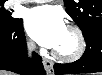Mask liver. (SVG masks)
I'll list each match as a JSON object with an SVG mask.
<instances>
[{"mask_svg": "<svg viewBox=\"0 0 102 75\" xmlns=\"http://www.w3.org/2000/svg\"><path fill=\"white\" fill-rule=\"evenodd\" d=\"M1 75H13V74H10V73H8V72H1Z\"/></svg>", "mask_w": 102, "mask_h": 75, "instance_id": "1", "label": "liver"}]
</instances>
